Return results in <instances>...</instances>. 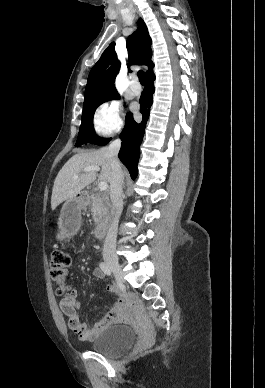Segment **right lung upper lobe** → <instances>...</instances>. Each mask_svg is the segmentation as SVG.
Wrapping results in <instances>:
<instances>
[{
    "label": "right lung upper lobe",
    "mask_w": 265,
    "mask_h": 388,
    "mask_svg": "<svg viewBox=\"0 0 265 388\" xmlns=\"http://www.w3.org/2000/svg\"><path fill=\"white\" fill-rule=\"evenodd\" d=\"M129 66L147 65V76L153 73L154 64L151 61V38L144 21L140 18L138 29L128 37L127 42ZM115 43L112 42L103 52L98 62L90 71L85 89V100L109 90L115 89L114 82L120 69V61L114 50Z\"/></svg>",
    "instance_id": "obj_1"
}]
</instances>
